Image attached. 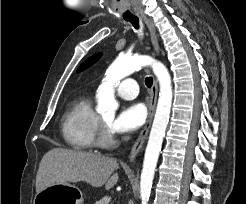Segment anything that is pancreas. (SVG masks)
Masks as SVG:
<instances>
[{"mask_svg":"<svg viewBox=\"0 0 246 204\" xmlns=\"http://www.w3.org/2000/svg\"><path fill=\"white\" fill-rule=\"evenodd\" d=\"M111 201V198L108 196H105L101 198L100 200L96 201L95 204H109Z\"/></svg>","mask_w":246,"mask_h":204,"instance_id":"obj_1","label":"pancreas"}]
</instances>
